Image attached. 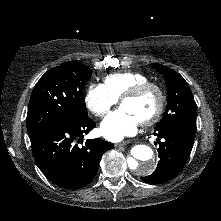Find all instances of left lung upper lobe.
<instances>
[{
    "instance_id": "left-lung-upper-lobe-1",
    "label": "left lung upper lobe",
    "mask_w": 221,
    "mask_h": 221,
    "mask_svg": "<svg viewBox=\"0 0 221 221\" xmlns=\"http://www.w3.org/2000/svg\"><path fill=\"white\" fill-rule=\"evenodd\" d=\"M165 77L168 88L166 112L155 129L169 128L194 141L196 133V103L185 79L177 72L160 64H150Z\"/></svg>"
}]
</instances>
